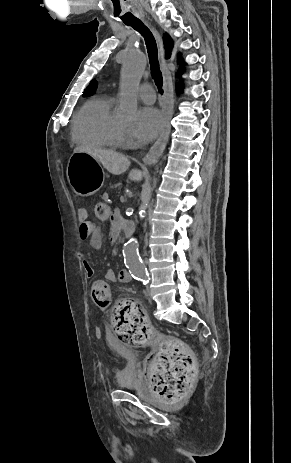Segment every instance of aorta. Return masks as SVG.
Returning a JSON list of instances; mask_svg holds the SVG:
<instances>
[{
	"instance_id": "aorta-1",
	"label": "aorta",
	"mask_w": 291,
	"mask_h": 463,
	"mask_svg": "<svg viewBox=\"0 0 291 463\" xmlns=\"http://www.w3.org/2000/svg\"><path fill=\"white\" fill-rule=\"evenodd\" d=\"M146 58L138 51H128L121 69L120 107L124 117L132 118L137 111V92L146 68ZM151 197V189L147 188L142 196L141 207L139 211L140 219H144L145 210ZM124 263L130 273L139 278L146 277V268L138 253V241L135 238L130 239L124 246Z\"/></svg>"
}]
</instances>
